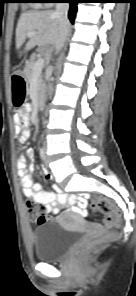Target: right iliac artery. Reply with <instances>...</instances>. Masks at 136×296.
<instances>
[{"instance_id": "82829eb1", "label": "right iliac artery", "mask_w": 136, "mask_h": 296, "mask_svg": "<svg viewBox=\"0 0 136 296\" xmlns=\"http://www.w3.org/2000/svg\"><path fill=\"white\" fill-rule=\"evenodd\" d=\"M40 156H41L42 160H45L46 154H45V151L43 148L40 149Z\"/></svg>"}]
</instances>
